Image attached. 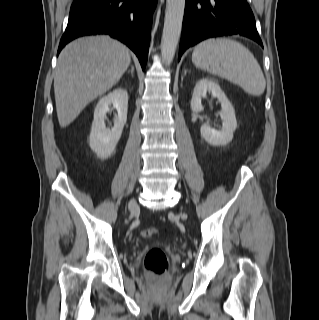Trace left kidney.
I'll list each match as a JSON object with an SVG mask.
<instances>
[{"mask_svg":"<svg viewBox=\"0 0 319 320\" xmlns=\"http://www.w3.org/2000/svg\"><path fill=\"white\" fill-rule=\"evenodd\" d=\"M207 92H211L221 103L219 114L222 120V128L221 130L212 129L207 122L201 126V136L211 145H227L233 139V132L237 128V121L232 104L216 82L203 78L196 83L191 100V109L196 114L203 111L201 100L206 97Z\"/></svg>","mask_w":319,"mask_h":320,"instance_id":"5707ae66","label":"left kidney"}]
</instances>
